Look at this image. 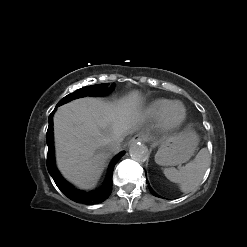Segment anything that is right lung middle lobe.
I'll list each match as a JSON object with an SVG mask.
<instances>
[{
  "instance_id": "dd1d6c3e",
  "label": "right lung middle lobe",
  "mask_w": 247,
  "mask_h": 247,
  "mask_svg": "<svg viewBox=\"0 0 247 247\" xmlns=\"http://www.w3.org/2000/svg\"><path fill=\"white\" fill-rule=\"evenodd\" d=\"M113 86L110 88L107 87V83L103 84H97V85H91L84 88H81L74 93H71L64 97L62 100H60L59 104L62 105L66 102H69L73 99H77L79 97L84 96H101L109 93L112 90Z\"/></svg>"
}]
</instances>
